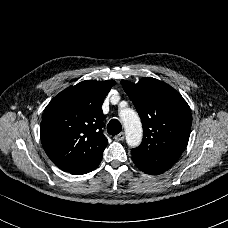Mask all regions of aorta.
<instances>
[{
    "label": "aorta",
    "mask_w": 228,
    "mask_h": 228,
    "mask_svg": "<svg viewBox=\"0 0 228 228\" xmlns=\"http://www.w3.org/2000/svg\"><path fill=\"white\" fill-rule=\"evenodd\" d=\"M118 116L126 132V143L129 148L140 146L143 138V129L138 113L131 107H120Z\"/></svg>",
    "instance_id": "obj_1"
}]
</instances>
